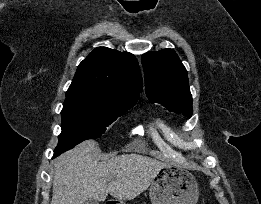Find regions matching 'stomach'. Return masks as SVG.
Here are the masks:
<instances>
[{
  "label": "stomach",
  "instance_id": "0dacf381",
  "mask_svg": "<svg viewBox=\"0 0 261 204\" xmlns=\"http://www.w3.org/2000/svg\"><path fill=\"white\" fill-rule=\"evenodd\" d=\"M149 195L152 204H196L199 188L188 170L167 165L152 180Z\"/></svg>",
  "mask_w": 261,
  "mask_h": 204
}]
</instances>
